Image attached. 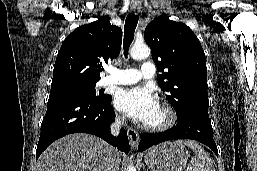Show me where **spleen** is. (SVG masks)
<instances>
[{
    "label": "spleen",
    "instance_id": "spleen-1",
    "mask_svg": "<svg viewBox=\"0 0 257 171\" xmlns=\"http://www.w3.org/2000/svg\"><path fill=\"white\" fill-rule=\"evenodd\" d=\"M175 143L178 145H186L195 153L186 171H216L209 154L199 144L189 140H178Z\"/></svg>",
    "mask_w": 257,
    "mask_h": 171
}]
</instances>
